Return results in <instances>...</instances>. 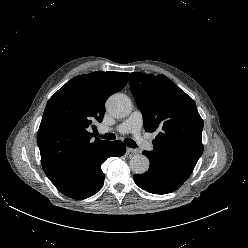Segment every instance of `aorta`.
I'll return each instance as SVG.
<instances>
[{"instance_id": "762f6f07", "label": "aorta", "mask_w": 248, "mask_h": 248, "mask_svg": "<svg viewBox=\"0 0 248 248\" xmlns=\"http://www.w3.org/2000/svg\"><path fill=\"white\" fill-rule=\"evenodd\" d=\"M108 112L116 118L127 117L132 110L130 99L124 94L112 95L106 103ZM129 166L135 174H143L149 168V159L143 154H135L130 158Z\"/></svg>"}]
</instances>
